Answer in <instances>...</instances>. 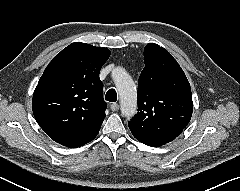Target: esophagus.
<instances>
[{"label": "esophagus", "mask_w": 240, "mask_h": 191, "mask_svg": "<svg viewBox=\"0 0 240 191\" xmlns=\"http://www.w3.org/2000/svg\"><path fill=\"white\" fill-rule=\"evenodd\" d=\"M119 104H117V103H112L111 104V106H110V108H111V110L112 111H118L119 110Z\"/></svg>", "instance_id": "1"}]
</instances>
